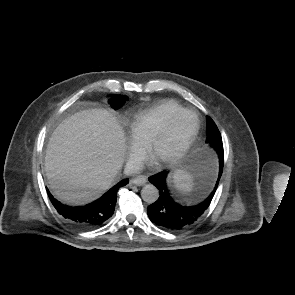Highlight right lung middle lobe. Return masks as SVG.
<instances>
[{
  "label": "right lung middle lobe",
  "mask_w": 295,
  "mask_h": 295,
  "mask_svg": "<svg viewBox=\"0 0 295 295\" xmlns=\"http://www.w3.org/2000/svg\"><path fill=\"white\" fill-rule=\"evenodd\" d=\"M128 98L122 95H111V99L109 103L112 108L118 109L120 108Z\"/></svg>",
  "instance_id": "obj_1"
}]
</instances>
